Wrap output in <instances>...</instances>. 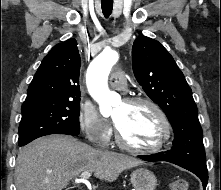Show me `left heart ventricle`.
I'll return each instance as SVG.
<instances>
[{
    "label": "left heart ventricle",
    "instance_id": "b2bd125f",
    "mask_svg": "<svg viewBox=\"0 0 221 190\" xmlns=\"http://www.w3.org/2000/svg\"><path fill=\"white\" fill-rule=\"evenodd\" d=\"M113 118L123 138L131 145L147 147L158 139L159 119L152 108L147 105H129L122 102L115 109Z\"/></svg>",
    "mask_w": 221,
    "mask_h": 190
}]
</instances>
